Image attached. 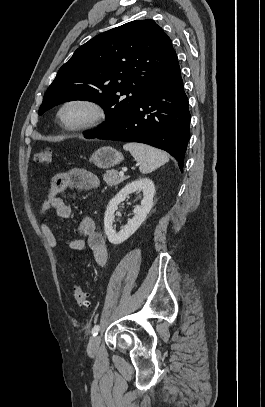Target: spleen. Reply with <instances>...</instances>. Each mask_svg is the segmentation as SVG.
<instances>
[{"label": "spleen", "mask_w": 265, "mask_h": 407, "mask_svg": "<svg viewBox=\"0 0 265 407\" xmlns=\"http://www.w3.org/2000/svg\"><path fill=\"white\" fill-rule=\"evenodd\" d=\"M123 148L140 164L142 174H148L169 161L166 152L149 145L131 142L126 143Z\"/></svg>", "instance_id": "obj_1"}]
</instances>
